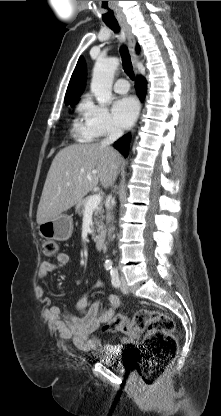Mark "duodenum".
<instances>
[{
	"label": "duodenum",
	"instance_id": "1",
	"mask_svg": "<svg viewBox=\"0 0 221 416\" xmlns=\"http://www.w3.org/2000/svg\"><path fill=\"white\" fill-rule=\"evenodd\" d=\"M106 231L103 227H100L99 232L96 236L95 245L98 250H102L105 245Z\"/></svg>",
	"mask_w": 221,
	"mask_h": 416
}]
</instances>
